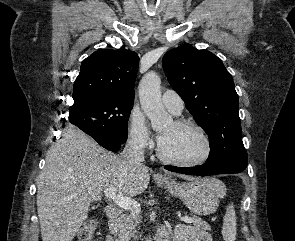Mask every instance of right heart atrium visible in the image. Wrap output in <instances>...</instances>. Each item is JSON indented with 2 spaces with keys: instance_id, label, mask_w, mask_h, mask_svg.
<instances>
[{
  "instance_id": "obj_1",
  "label": "right heart atrium",
  "mask_w": 295,
  "mask_h": 241,
  "mask_svg": "<svg viewBox=\"0 0 295 241\" xmlns=\"http://www.w3.org/2000/svg\"><path fill=\"white\" fill-rule=\"evenodd\" d=\"M128 142L139 151H147L153 141L144 117L137 112H132L128 123Z\"/></svg>"
}]
</instances>
